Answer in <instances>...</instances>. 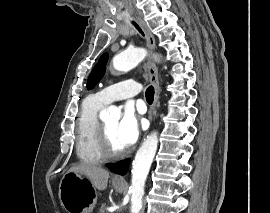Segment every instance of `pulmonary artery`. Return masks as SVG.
I'll return each mask as SVG.
<instances>
[{"instance_id":"1","label":"pulmonary artery","mask_w":270,"mask_h":213,"mask_svg":"<svg viewBox=\"0 0 270 213\" xmlns=\"http://www.w3.org/2000/svg\"><path fill=\"white\" fill-rule=\"evenodd\" d=\"M140 90L136 81L124 80L98 91L94 96L100 104L107 105L115 100L134 98Z\"/></svg>"}]
</instances>
